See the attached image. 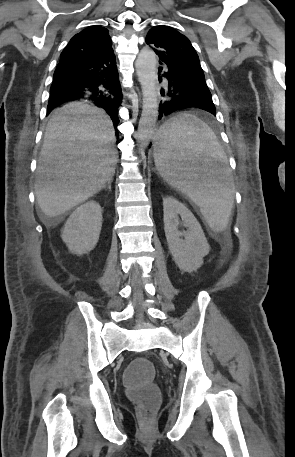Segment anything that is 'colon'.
Instances as JSON below:
<instances>
[{"instance_id": "1", "label": "colon", "mask_w": 295, "mask_h": 457, "mask_svg": "<svg viewBox=\"0 0 295 457\" xmlns=\"http://www.w3.org/2000/svg\"><path fill=\"white\" fill-rule=\"evenodd\" d=\"M156 369L147 358L141 357L135 363H129L123 374V383L128 396L137 404L139 416L149 421L158 406L159 390L151 381L156 378Z\"/></svg>"}]
</instances>
